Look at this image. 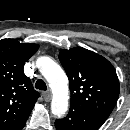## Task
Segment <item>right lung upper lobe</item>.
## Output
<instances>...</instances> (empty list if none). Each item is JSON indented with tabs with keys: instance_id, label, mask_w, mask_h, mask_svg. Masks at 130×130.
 <instances>
[{
	"instance_id": "cb5924a9",
	"label": "right lung upper lobe",
	"mask_w": 130,
	"mask_h": 130,
	"mask_svg": "<svg viewBox=\"0 0 130 130\" xmlns=\"http://www.w3.org/2000/svg\"><path fill=\"white\" fill-rule=\"evenodd\" d=\"M38 48L34 43L0 40V130H17L34 108L39 93L24 74L23 67Z\"/></svg>"
}]
</instances>
